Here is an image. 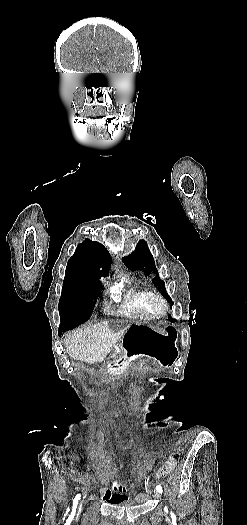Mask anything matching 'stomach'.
Returning <instances> with one entry per match:
<instances>
[{
	"label": "stomach",
	"mask_w": 247,
	"mask_h": 525,
	"mask_svg": "<svg viewBox=\"0 0 247 525\" xmlns=\"http://www.w3.org/2000/svg\"><path fill=\"white\" fill-rule=\"evenodd\" d=\"M129 352L150 359L161 368H170L178 357L177 332L168 327L157 330L149 325L134 324L124 336Z\"/></svg>",
	"instance_id": "0dacf381"
}]
</instances>
